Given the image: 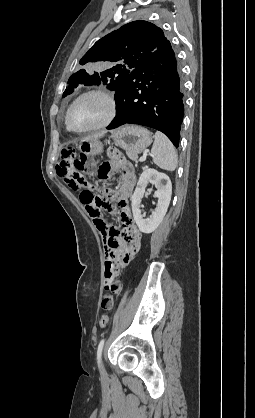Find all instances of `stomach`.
<instances>
[{"label":"stomach","mask_w":255,"mask_h":418,"mask_svg":"<svg viewBox=\"0 0 255 418\" xmlns=\"http://www.w3.org/2000/svg\"><path fill=\"white\" fill-rule=\"evenodd\" d=\"M111 138L117 146L135 155L142 153L152 142L150 131L137 125H126L114 130ZM79 149L86 155H97L102 152L103 146L99 140H91L81 143Z\"/></svg>","instance_id":"obj_1"}]
</instances>
